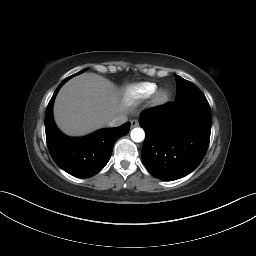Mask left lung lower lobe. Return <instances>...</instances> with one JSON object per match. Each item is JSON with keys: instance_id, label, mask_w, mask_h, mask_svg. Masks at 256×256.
<instances>
[{"instance_id": "0a47b994", "label": "left lung lower lobe", "mask_w": 256, "mask_h": 256, "mask_svg": "<svg viewBox=\"0 0 256 256\" xmlns=\"http://www.w3.org/2000/svg\"><path fill=\"white\" fill-rule=\"evenodd\" d=\"M139 124L146 133L142 160L156 178L177 180L188 175L208 149L211 110L204 95L148 109Z\"/></svg>"}]
</instances>
